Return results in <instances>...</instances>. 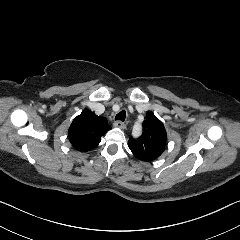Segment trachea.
<instances>
[{
  "mask_svg": "<svg viewBox=\"0 0 240 240\" xmlns=\"http://www.w3.org/2000/svg\"><path fill=\"white\" fill-rule=\"evenodd\" d=\"M125 119H126V111H125V110L120 111V112L115 116V120H121L122 122H124Z\"/></svg>",
  "mask_w": 240,
  "mask_h": 240,
  "instance_id": "1",
  "label": "trachea"
}]
</instances>
